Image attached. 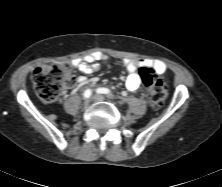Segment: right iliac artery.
I'll list each match as a JSON object with an SVG mask.
<instances>
[{
  "label": "right iliac artery",
  "mask_w": 222,
  "mask_h": 187,
  "mask_svg": "<svg viewBox=\"0 0 222 187\" xmlns=\"http://www.w3.org/2000/svg\"><path fill=\"white\" fill-rule=\"evenodd\" d=\"M91 94H92V91L90 89H87V90H85L83 95L85 98H89L91 96Z\"/></svg>",
  "instance_id": "obj_1"
}]
</instances>
